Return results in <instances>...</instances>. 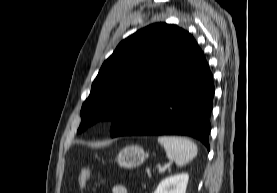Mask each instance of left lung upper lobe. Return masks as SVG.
<instances>
[{
  "label": "left lung upper lobe",
  "instance_id": "1",
  "mask_svg": "<svg viewBox=\"0 0 277 193\" xmlns=\"http://www.w3.org/2000/svg\"><path fill=\"white\" fill-rule=\"evenodd\" d=\"M197 43L185 30L149 25L123 40L103 63L81 108L78 133L113 118V134L188 59Z\"/></svg>",
  "mask_w": 277,
  "mask_h": 193
}]
</instances>
